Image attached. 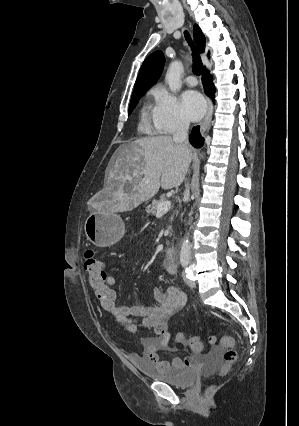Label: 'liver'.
Listing matches in <instances>:
<instances>
[{"label":"liver","mask_w":299,"mask_h":426,"mask_svg":"<svg viewBox=\"0 0 299 426\" xmlns=\"http://www.w3.org/2000/svg\"><path fill=\"white\" fill-rule=\"evenodd\" d=\"M192 160V150L170 136L137 139L117 151L102 204L115 212L130 211L160 189L178 187Z\"/></svg>","instance_id":"1"}]
</instances>
